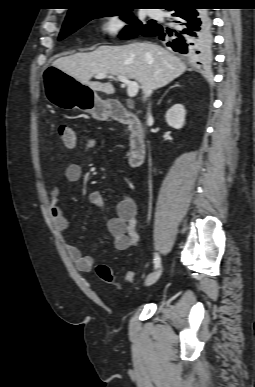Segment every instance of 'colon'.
Returning <instances> with one entry per match:
<instances>
[{"mask_svg":"<svg viewBox=\"0 0 255 387\" xmlns=\"http://www.w3.org/2000/svg\"><path fill=\"white\" fill-rule=\"evenodd\" d=\"M58 137L61 144L67 149H72L76 145L79 138L87 145L98 144L97 139L89 137L87 135H80L77 130L66 124H62L59 126ZM96 272L100 280L107 284H114L115 277L110 266L104 263L99 264L96 267ZM124 278L127 282L133 283L135 281V273L132 271H128L125 273Z\"/></svg>","mask_w":255,"mask_h":387,"instance_id":"1","label":"colon"}]
</instances>
